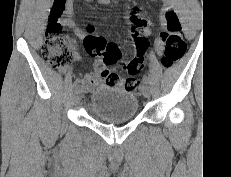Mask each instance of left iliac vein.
I'll use <instances>...</instances> for the list:
<instances>
[{
    "label": "left iliac vein",
    "instance_id": "1",
    "mask_svg": "<svg viewBox=\"0 0 231 177\" xmlns=\"http://www.w3.org/2000/svg\"><path fill=\"white\" fill-rule=\"evenodd\" d=\"M151 87L150 85H148L147 83L145 84V86L143 87V95L146 97V98H149L151 96Z\"/></svg>",
    "mask_w": 231,
    "mask_h": 177
}]
</instances>
